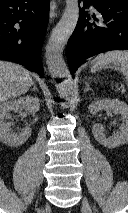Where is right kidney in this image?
I'll use <instances>...</instances> for the list:
<instances>
[{
	"label": "right kidney",
	"instance_id": "right-kidney-1",
	"mask_svg": "<svg viewBox=\"0 0 128 213\" xmlns=\"http://www.w3.org/2000/svg\"><path fill=\"white\" fill-rule=\"evenodd\" d=\"M23 109L30 113L38 112L40 100L37 97L25 96L0 104V140L8 146L19 147L31 136L30 126H26L18 133H12L13 122L7 121L5 118L10 111L21 112Z\"/></svg>",
	"mask_w": 128,
	"mask_h": 213
}]
</instances>
